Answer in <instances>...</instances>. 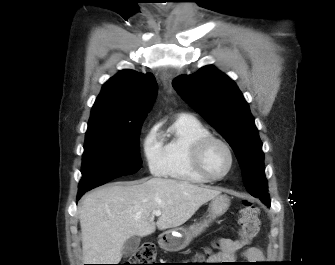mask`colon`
I'll return each mask as SVG.
<instances>
[{"instance_id": "1", "label": "colon", "mask_w": 335, "mask_h": 265, "mask_svg": "<svg viewBox=\"0 0 335 265\" xmlns=\"http://www.w3.org/2000/svg\"><path fill=\"white\" fill-rule=\"evenodd\" d=\"M261 219L259 210L250 202H246L240 211L239 227L242 240L249 242L259 232ZM156 249L154 245L145 243L141 245L132 255L127 264L124 265H154Z\"/></svg>"}]
</instances>
